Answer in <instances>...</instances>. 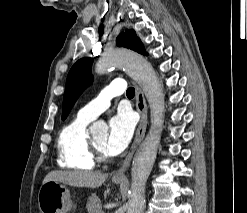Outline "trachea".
I'll list each match as a JSON object with an SVG mask.
<instances>
[{
  "label": "trachea",
  "mask_w": 247,
  "mask_h": 213,
  "mask_svg": "<svg viewBox=\"0 0 247 213\" xmlns=\"http://www.w3.org/2000/svg\"><path fill=\"white\" fill-rule=\"evenodd\" d=\"M134 94H135V89L133 87H130L127 89V91H126L127 96H132Z\"/></svg>",
  "instance_id": "obj_1"
}]
</instances>
